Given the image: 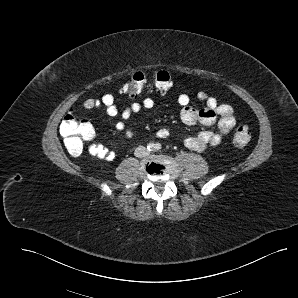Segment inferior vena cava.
Segmentation results:
<instances>
[{
	"mask_svg": "<svg viewBox=\"0 0 298 298\" xmlns=\"http://www.w3.org/2000/svg\"><path fill=\"white\" fill-rule=\"evenodd\" d=\"M149 153H150L149 150L143 145L137 146L134 151V155L138 158H144V157L148 156Z\"/></svg>",
	"mask_w": 298,
	"mask_h": 298,
	"instance_id": "inferior-vena-cava-1",
	"label": "inferior vena cava"
}]
</instances>
